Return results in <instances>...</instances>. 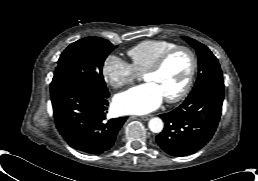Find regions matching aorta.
Masks as SVG:
<instances>
[{
	"mask_svg": "<svg viewBox=\"0 0 258 181\" xmlns=\"http://www.w3.org/2000/svg\"><path fill=\"white\" fill-rule=\"evenodd\" d=\"M148 127L152 132L160 133L163 130L164 124L160 118L155 117V118L150 119V121L148 123Z\"/></svg>",
	"mask_w": 258,
	"mask_h": 181,
	"instance_id": "aorta-1",
	"label": "aorta"
}]
</instances>
